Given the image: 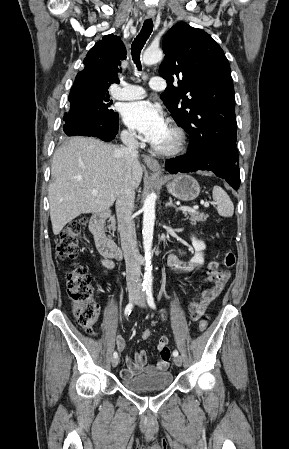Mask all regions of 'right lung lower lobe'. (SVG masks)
I'll return each instance as SVG.
<instances>
[{
    "label": "right lung lower lobe",
    "mask_w": 289,
    "mask_h": 449,
    "mask_svg": "<svg viewBox=\"0 0 289 449\" xmlns=\"http://www.w3.org/2000/svg\"><path fill=\"white\" fill-rule=\"evenodd\" d=\"M84 95V89L74 84L69 94V101L71 104L70 111L76 108ZM64 120L66 124L63 126V130L65 133L69 134V136H94L109 142L113 140L118 133V113H116L114 119L108 124H96L89 121L75 122V120L70 117L64 118Z\"/></svg>",
    "instance_id": "98d812e1"
}]
</instances>
